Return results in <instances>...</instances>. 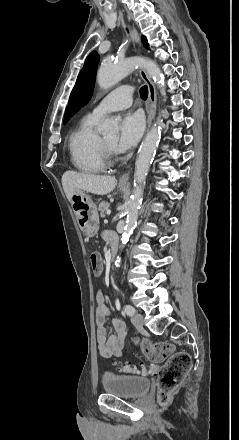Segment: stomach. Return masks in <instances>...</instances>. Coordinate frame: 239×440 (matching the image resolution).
<instances>
[{"label": "stomach", "mask_w": 239, "mask_h": 440, "mask_svg": "<svg viewBox=\"0 0 239 440\" xmlns=\"http://www.w3.org/2000/svg\"><path fill=\"white\" fill-rule=\"evenodd\" d=\"M119 190L125 192L126 188H120ZM72 210L76 216L77 224L83 232L84 236L87 238H93L96 236L99 230V216L97 212V206L91 200L89 194L83 192V190H78L72 196Z\"/></svg>", "instance_id": "0dacf381"}]
</instances>
